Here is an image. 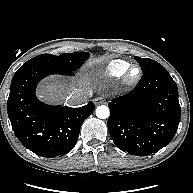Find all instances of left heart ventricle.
<instances>
[{"label":"left heart ventricle","mask_w":193,"mask_h":193,"mask_svg":"<svg viewBox=\"0 0 193 193\" xmlns=\"http://www.w3.org/2000/svg\"><path fill=\"white\" fill-rule=\"evenodd\" d=\"M137 73V71L135 70L134 72H133V74L135 75Z\"/></svg>","instance_id":"b2bd125f"}]
</instances>
